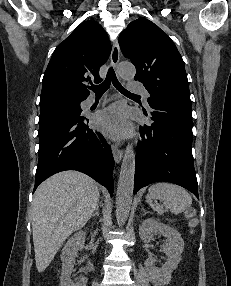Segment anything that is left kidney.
I'll return each mask as SVG.
<instances>
[{
  "mask_svg": "<svg viewBox=\"0 0 231 286\" xmlns=\"http://www.w3.org/2000/svg\"><path fill=\"white\" fill-rule=\"evenodd\" d=\"M155 234H161L167 238L163 251L166 254V262L162 268L154 265V259L145 261V269L154 286H164L170 283L172 272L177 268L181 253L184 250V241L180 233L169 225L160 223L156 219H145L139 227V235L142 241L148 243Z\"/></svg>",
  "mask_w": 231,
  "mask_h": 286,
  "instance_id": "left-kidney-1",
  "label": "left kidney"
}]
</instances>
